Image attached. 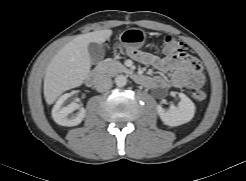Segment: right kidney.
Returning a JSON list of instances; mask_svg holds the SVG:
<instances>
[{
	"mask_svg": "<svg viewBox=\"0 0 246 181\" xmlns=\"http://www.w3.org/2000/svg\"><path fill=\"white\" fill-rule=\"evenodd\" d=\"M69 97V94L62 95L52 109V118L53 120L62 126H76L82 122L85 117L86 110L84 108H80L77 103H70L69 105L63 107V103ZM76 109H80L76 116H72L71 118H67V116L75 111Z\"/></svg>",
	"mask_w": 246,
	"mask_h": 181,
	"instance_id": "ca27d5eb",
	"label": "right kidney"
}]
</instances>
